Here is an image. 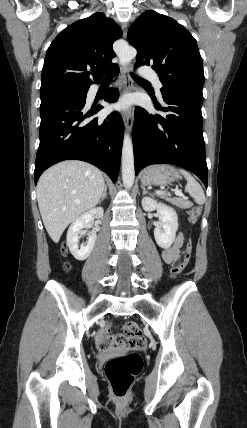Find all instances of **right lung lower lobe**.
Segmentation results:
<instances>
[{
  "label": "right lung lower lobe",
  "instance_id": "1",
  "mask_svg": "<svg viewBox=\"0 0 247 428\" xmlns=\"http://www.w3.org/2000/svg\"><path fill=\"white\" fill-rule=\"evenodd\" d=\"M118 74L119 68L112 70ZM116 92L107 91L103 100L113 103ZM85 99H55L40 105V145L37 151L34 180L50 166L63 160L89 162L106 172L116 182L123 140V122L118 112L104 120L90 119L101 105L90 109Z\"/></svg>",
  "mask_w": 247,
  "mask_h": 428
}]
</instances>
